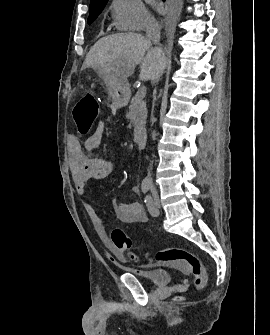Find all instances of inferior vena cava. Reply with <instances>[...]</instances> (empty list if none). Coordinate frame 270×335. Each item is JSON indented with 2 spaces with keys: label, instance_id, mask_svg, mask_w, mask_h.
I'll use <instances>...</instances> for the list:
<instances>
[{
  "label": "inferior vena cava",
  "instance_id": "602c4592",
  "mask_svg": "<svg viewBox=\"0 0 270 335\" xmlns=\"http://www.w3.org/2000/svg\"><path fill=\"white\" fill-rule=\"evenodd\" d=\"M146 36H147V40H150V42H153V44H159L160 26L159 24H157L156 20H148L147 26H146ZM158 78H160V76H158ZM158 78H156L154 82H158ZM154 94H156V90ZM148 179L150 181V185H153L151 173H148Z\"/></svg>",
  "mask_w": 270,
  "mask_h": 335
}]
</instances>
